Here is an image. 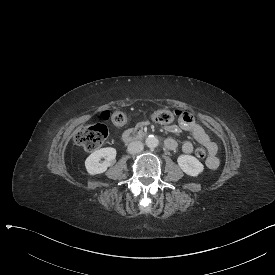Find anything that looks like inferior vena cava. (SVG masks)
Masks as SVG:
<instances>
[{
  "label": "inferior vena cava",
  "instance_id": "602c4592",
  "mask_svg": "<svg viewBox=\"0 0 275 275\" xmlns=\"http://www.w3.org/2000/svg\"><path fill=\"white\" fill-rule=\"evenodd\" d=\"M144 146L143 143L141 141H133L128 145V152L130 154H136L139 153L143 150Z\"/></svg>",
  "mask_w": 275,
  "mask_h": 275
}]
</instances>
